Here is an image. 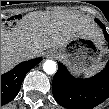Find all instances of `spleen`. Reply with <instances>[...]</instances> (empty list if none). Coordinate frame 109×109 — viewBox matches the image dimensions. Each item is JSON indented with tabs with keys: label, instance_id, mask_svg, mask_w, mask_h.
<instances>
[{
	"label": "spleen",
	"instance_id": "spleen-1",
	"mask_svg": "<svg viewBox=\"0 0 109 109\" xmlns=\"http://www.w3.org/2000/svg\"><path fill=\"white\" fill-rule=\"evenodd\" d=\"M103 65H104V64H102V65H101L97 70H95V71H88V72H85V73H84L85 76H86V77H89V76L94 75L95 73L98 72V70H100V69L102 68Z\"/></svg>",
	"mask_w": 109,
	"mask_h": 109
}]
</instances>
